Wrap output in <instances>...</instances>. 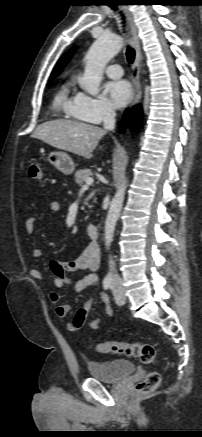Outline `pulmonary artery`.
Instances as JSON below:
<instances>
[{
	"label": "pulmonary artery",
	"mask_w": 202,
	"mask_h": 437,
	"mask_svg": "<svg viewBox=\"0 0 202 437\" xmlns=\"http://www.w3.org/2000/svg\"><path fill=\"white\" fill-rule=\"evenodd\" d=\"M105 72L110 78H120L123 75V69L118 64L109 65Z\"/></svg>",
	"instance_id": "pulmonary-artery-1"
}]
</instances>
